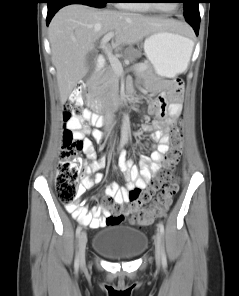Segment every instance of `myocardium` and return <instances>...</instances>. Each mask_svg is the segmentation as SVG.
I'll return each instance as SVG.
<instances>
[{"label": "myocardium", "mask_w": 239, "mask_h": 296, "mask_svg": "<svg viewBox=\"0 0 239 296\" xmlns=\"http://www.w3.org/2000/svg\"><path fill=\"white\" fill-rule=\"evenodd\" d=\"M146 1H147V5H148L150 8H152V9L158 11V12H161V13H167L166 10L161 9V8L155 3V0H146Z\"/></svg>", "instance_id": "f54148a6"}]
</instances>
